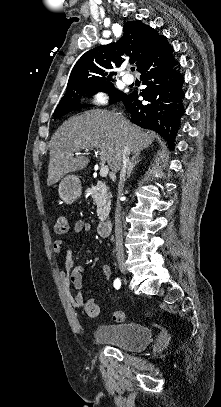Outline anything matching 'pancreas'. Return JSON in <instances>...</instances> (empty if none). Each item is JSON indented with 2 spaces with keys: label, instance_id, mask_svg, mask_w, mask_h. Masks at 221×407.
<instances>
[{
  "label": "pancreas",
  "instance_id": "cf45deb5",
  "mask_svg": "<svg viewBox=\"0 0 221 407\" xmlns=\"http://www.w3.org/2000/svg\"><path fill=\"white\" fill-rule=\"evenodd\" d=\"M87 194H90L97 206V216L100 220L105 219L111 208V194L105 183L98 182L96 185H92L91 188L86 190Z\"/></svg>",
  "mask_w": 221,
  "mask_h": 407
}]
</instances>
